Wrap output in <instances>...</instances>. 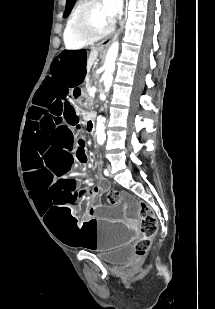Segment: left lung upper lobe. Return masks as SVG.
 <instances>
[{
    "mask_svg": "<svg viewBox=\"0 0 215 309\" xmlns=\"http://www.w3.org/2000/svg\"><path fill=\"white\" fill-rule=\"evenodd\" d=\"M75 0H67V4H66V10H65V17L68 15L69 11L72 8V5L74 3Z\"/></svg>",
    "mask_w": 215,
    "mask_h": 309,
    "instance_id": "1",
    "label": "left lung upper lobe"
}]
</instances>
